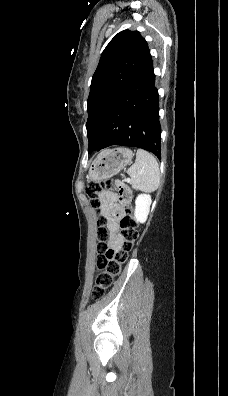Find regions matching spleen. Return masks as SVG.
I'll list each match as a JSON object with an SVG mask.
<instances>
[{
    "label": "spleen",
    "instance_id": "spleen-1",
    "mask_svg": "<svg viewBox=\"0 0 228 396\" xmlns=\"http://www.w3.org/2000/svg\"><path fill=\"white\" fill-rule=\"evenodd\" d=\"M132 188L153 192L160 185V170L156 158L149 152L138 149L135 163L128 169Z\"/></svg>",
    "mask_w": 228,
    "mask_h": 396
}]
</instances>
